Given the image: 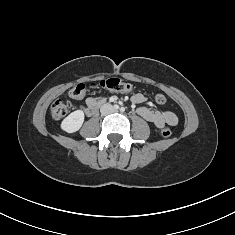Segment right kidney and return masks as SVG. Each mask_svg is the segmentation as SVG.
<instances>
[{"label": "right kidney", "mask_w": 235, "mask_h": 235, "mask_svg": "<svg viewBox=\"0 0 235 235\" xmlns=\"http://www.w3.org/2000/svg\"><path fill=\"white\" fill-rule=\"evenodd\" d=\"M84 122V112L82 110H76L69 114L61 123V129L74 133L78 131Z\"/></svg>", "instance_id": "ca27d5eb"}]
</instances>
